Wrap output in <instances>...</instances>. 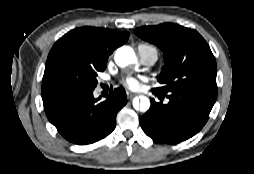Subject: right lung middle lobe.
Masks as SVG:
<instances>
[{"instance_id":"right-lung-middle-lobe-1","label":"right lung middle lobe","mask_w":254,"mask_h":174,"mask_svg":"<svg viewBox=\"0 0 254 174\" xmlns=\"http://www.w3.org/2000/svg\"><path fill=\"white\" fill-rule=\"evenodd\" d=\"M106 66H94L68 53L46 62L42 81V99L70 92L92 91L97 86V73Z\"/></svg>"}]
</instances>
